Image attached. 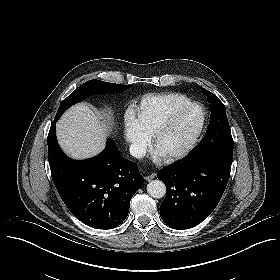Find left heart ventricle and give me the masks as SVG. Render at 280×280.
<instances>
[{
    "mask_svg": "<svg viewBox=\"0 0 280 280\" xmlns=\"http://www.w3.org/2000/svg\"><path fill=\"white\" fill-rule=\"evenodd\" d=\"M196 124V114L192 113L183 121L171 126L162 138L159 149L165 152H172L179 148L193 130Z\"/></svg>",
    "mask_w": 280,
    "mask_h": 280,
    "instance_id": "left-heart-ventricle-1",
    "label": "left heart ventricle"
}]
</instances>
